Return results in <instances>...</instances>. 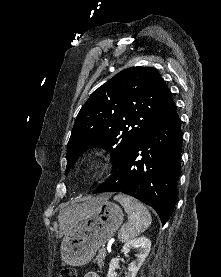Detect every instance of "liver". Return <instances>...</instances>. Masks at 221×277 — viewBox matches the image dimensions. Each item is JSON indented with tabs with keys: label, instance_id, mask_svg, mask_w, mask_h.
Returning a JSON list of instances; mask_svg holds the SVG:
<instances>
[{
	"label": "liver",
	"instance_id": "liver-1",
	"mask_svg": "<svg viewBox=\"0 0 221 277\" xmlns=\"http://www.w3.org/2000/svg\"><path fill=\"white\" fill-rule=\"evenodd\" d=\"M110 197L109 194H104L98 197H95L96 201L94 204L99 203L101 201L108 200ZM91 200V199H89ZM89 200L87 202H89ZM87 203L80 204V205H73L71 207H67L63 209L58 216V222L60 224L59 227V237L63 236L68 230V224L70 220L79 214L82 210V207L85 206Z\"/></svg>",
	"mask_w": 221,
	"mask_h": 277
}]
</instances>
